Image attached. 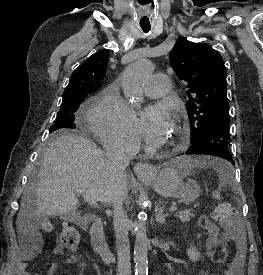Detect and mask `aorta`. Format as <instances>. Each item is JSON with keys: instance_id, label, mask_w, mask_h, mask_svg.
<instances>
[{"instance_id": "obj_1", "label": "aorta", "mask_w": 263, "mask_h": 275, "mask_svg": "<svg viewBox=\"0 0 263 275\" xmlns=\"http://www.w3.org/2000/svg\"><path fill=\"white\" fill-rule=\"evenodd\" d=\"M153 70V64L148 59H140L130 64L122 75V88L124 96L135 101L143 95L146 79ZM147 214L141 211L138 215L136 239L134 245V263L136 275L148 274V239L146 234Z\"/></svg>"}]
</instances>
